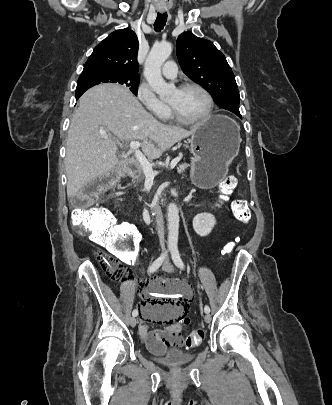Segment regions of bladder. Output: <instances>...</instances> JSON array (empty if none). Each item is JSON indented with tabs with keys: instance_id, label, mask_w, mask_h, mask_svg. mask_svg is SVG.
I'll return each instance as SVG.
<instances>
[{
	"instance_id": "bladder-1",
	"label": "bladder",
	"mask_w": 332,
	"mask_h": 405,
	"mask_svg": "<svg viewBox=\"0 0 332 405\" xmlns=\"http://www.w3.org/2000/svg\"><path fill=\"white\" fill-rule=\"evenodd\" d=\"M145 346L149 353L155 355L156 361L169 366H182L190 363L196 357L193 352H186L171 346H161L160 352L155 351L148 344Z\"/></svg>"
}]
</instances>
